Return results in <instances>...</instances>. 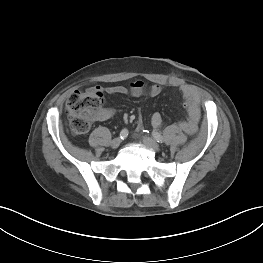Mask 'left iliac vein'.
<instances>
[{"label":"left iliac vein","instance_id":"left-iliac-vein-1","mask_svg":"<svg viewBox=\"0 0 263 263\" xmlns=\"http://www.w3.org/2000/svg\"><path fill=\"white\" fill-rule=\"evenodd\" d=\"M142 141L151 150H153L155 152H159L160 151V146L154 139H152L150 137H147V136H144Z\"/></svg>","mask_w":263,"mask_h":263}]
</instances>
